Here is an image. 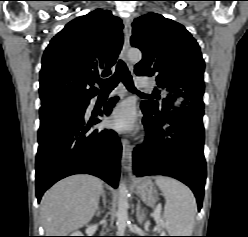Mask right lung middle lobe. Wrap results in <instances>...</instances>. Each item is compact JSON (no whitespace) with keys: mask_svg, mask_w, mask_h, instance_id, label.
I'll return each mask as SVG.
<instances>
[{"mask_svg":"<svg viewBox=\"0 0 248 237\" xmlns=\"http://www.w3.org/2000/svg\"><path fill=\"white\" fill-rule=\"evenodd\" d=\"M85 101H60V102H56L54 104H51V105H61V104H77V105H80V104H83Z\"/></svg>","mask_w":248,"mask_h":237,"instance_id":"1","label":"right lung middle lobe"}]
</instances>
